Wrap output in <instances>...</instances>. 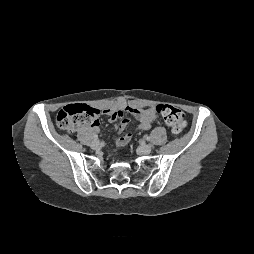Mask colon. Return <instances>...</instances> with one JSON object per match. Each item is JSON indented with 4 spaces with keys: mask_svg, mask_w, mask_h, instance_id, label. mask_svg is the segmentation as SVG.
Segmentation results:
<instances>
[{
    "mask_svg": "<svg viewBox=\"0 0 254 254\" xmlns=\"http://www.w3.org/2000/svg\"><path fill=\"white\" fill-rule=\"evenodd\" d=\"M153 111L160 115L170 131L175 134H181L185 127L186 121L183 112L168 104H158ZM99 112L86 104H73L62 108L56 116L57 126L67 132L75 131L81 124H92L98 120ZM121 145L127 144L125 138H120Z\"/></svg>",
    "mask_w": 254,
    "mask_h": 254,
    "instance_id": "5ec220e1",
    "label": "colon"
}]
</instances>
